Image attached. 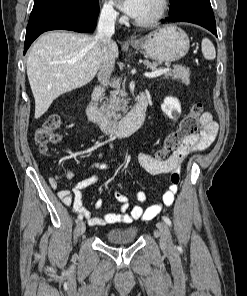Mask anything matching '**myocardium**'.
<instances>
[{"label":"myocardium","mask_w":247,"mask_h":296,"mask_svg":"<svg viewBox=\"0 0 247 296\" xmlns=\"http://www.w3.org/2000/svg\"><path fill=\"white\" fill-rule=\"evenodd\" d=\"M157 9L155 13L146 20L135 19L134 22L139 27H153L160 23L168 10V0H156Z\"/></svg>","instance_id":"myocardium-1"}]
</instances>
